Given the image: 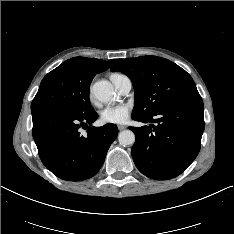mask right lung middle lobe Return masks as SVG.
I'll return each mask as SVG.
<instances>
[{"instance_id":"right-lung-middle-lobe-1","label":"right lung middle lobe","mask_w":234,"mask_h":234,"mask_svg":"<svg viewBox=\"0 0 234 234\" xmlns=\"http://www.w3.org/2000/svg\"><path fill=\"white\" fill-rule=\"evenodd\" d=\"M92 79L85 78L71 66L62 63L41 81L32 101L31 110L38 107H58L73 113L93 111L89 100Z\"/></svg>"}]
</instances>
